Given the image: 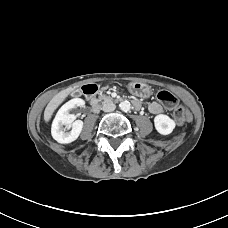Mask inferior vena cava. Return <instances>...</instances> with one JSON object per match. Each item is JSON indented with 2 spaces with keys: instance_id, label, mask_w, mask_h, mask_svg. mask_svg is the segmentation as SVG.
Returning <instances> with one entry per match:
<instances>
[{
  "instance_id": "602c4592",
  "label": "inferior vena cava",
  "mask_w": 228,
  "mask_h": 228,
  "mask_svg": "<svg viewBox=\"0 0 228 228\" xmlns=\"http://www.w3.org/2000/svg\"><path fill=\"white\" fill-rule=\"evenodd\" d=\"M115 108H116V106H115L114 103H105V104H103V106H102V110H103L104 112H112V111L115 110Z\"/></svg>"
}]
</instances>
